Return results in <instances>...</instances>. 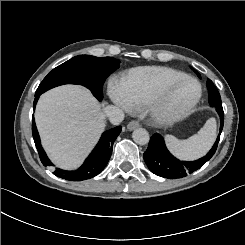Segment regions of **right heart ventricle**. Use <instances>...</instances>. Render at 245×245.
Listing matches in <instances>:
<instances>
[{
  "instance_id": "1",
  "label": "right heart ventricle",
  "mask_w": 245,
  "mask_h": 245,
  "mask_svg": "<svg viewBox=\"0 0 245 245\" xmlns=\"http://www.w3.org/2000/svg\"><path fill=\"white\" fill-rule=\"evenodd\" d=\"M183 76L186 75L166 67L139 68L131 71L128 79L115 87V92L127 106L139 107L145 104L147 96L159 81Z\"/></svg>"
}]
</instances>
